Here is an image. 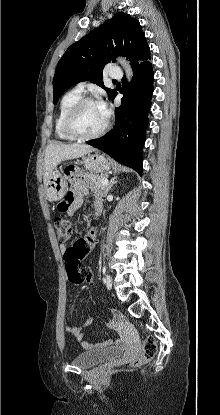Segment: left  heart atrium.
Instances as JSON below:
<instances>
[{
    "label": "left heart atrium",
    "mask_w": 220,
    "mask_h": 415,
    "mask_svg": "<svg viewBox=\"0 0 220 415\" xmlns=\"http://www.w3.org/2000/svg\"><path fill=\"white\" fill-rule=\"evenodd\" d=\"M100 109H101V112H102L103 116L107 119L108 116H109V110H108L106 104L105 103H102L100 105Z\"/></svg>",
    "instance_id": "left-heart-atrium-1"
}]
</instances>
